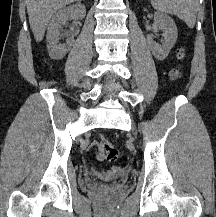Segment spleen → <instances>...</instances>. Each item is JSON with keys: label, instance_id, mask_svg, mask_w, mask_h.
I'll return each instance as SVG.
<instances>
[{"label": "spleen", "instance_id": "3e777b00", "mask_svg": "<svg viewBox=\"0 0 216 217\" xmlns=\"http://www.w3.org/2000/svg\"><path fill=\"white\" fill-rule=\"evenodd\" d=\"M154 8L182 19L193 28L198 11V0H151Z\"/></svg>", "mask_w": 216, "mask_h": 217}]
</instances>
